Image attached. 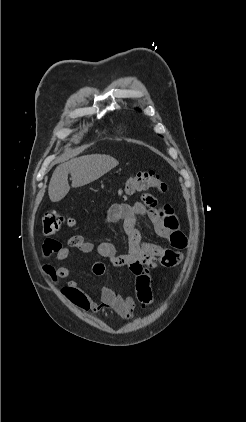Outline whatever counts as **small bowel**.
Returning <instances> with one entry per match:
<instances>
[{
	"label": "small bowel",
	"instance_id": "obj_1",
	"mask_svg": "<svg viewBox=\"0 0 246 422\" xmlns=\"http://www.w3.org/2000/svg\"><path fill=\"white\" fill-rule=\"evenodd\" d=\"M139 217H147L156 235L168 241L171 248L142 240L136 226ZM106 221L108 223L123 222V229L128 239L127 253L118 254L111 242L106 241L95 246L82 236L75 235L69 239L67 246H62L55 239L45 240L42 246L44 257L48 258L54 254L57 261H64L70 257L72 249L81 253H90L96 250L101 257L108 260L114 267H127L136 275V270L140 265L158 260L168 249L180 251L187 244L186 236L180 230L178 219L172 208L169 205H164L160 209L157 208V200L152 195H145L143 202H136L133 205H112L106 213ZM104 268L102 262H95L92 271L95 275L100 276L103 274ZM43 271L54 284H58L61 279L72 275L71 268L67 266L56 268L51 264H45ZM61 292L83 310L92 312L110 310L124 319L130 318L136 307L132 298L106 286L102 287L96 296H90L81 289L77 281L69 280L61 289Z\"/></svg>",
	"mask_w": 246,
	"mask_h": 422
}]
</instances>
